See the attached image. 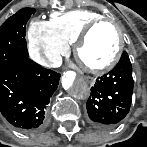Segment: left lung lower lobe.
<instances>
[{"mask_svg": "<svg viewBox=\"0 0 147 147\" xmlns=\"http://www.w3.org/2000/svg\"><path fill=\"white\" fill-rule=\"evenodd\" d=\"M132 94V65L124 51L118 64L91 88L86 104L89 123L99 129L117 125L130 110Z\"/></svg>", "mask_w": 147, "mask_h": 147, "instance_id": "1", "label": "left lung lower lobe"}]
</instances>
